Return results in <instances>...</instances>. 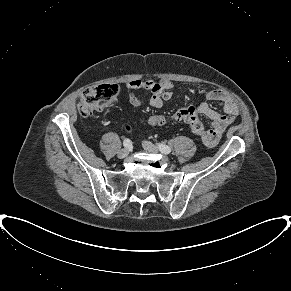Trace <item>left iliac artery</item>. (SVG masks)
I'll return each mask as SVG.
<instances>
[{
    "label": "left iliac artery",
    "instance_id": "obj_1",
    "mask_svg": "<svg viewBox=\"0 0 291 291\" xmlns=\"http://www.w3.org/2000/svg\"><path fill=\"white\" fill-rule=\"evenodd\" d=\"M158 148L164 154H169L171 152V147L163 143L158 144Z\"/></svg>",
    "mask_w": 291,
    "mask_h": 291
}]
</instances>
